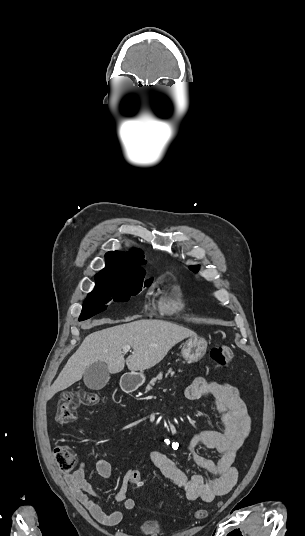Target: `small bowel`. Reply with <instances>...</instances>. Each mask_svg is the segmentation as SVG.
I'll use <instances>...</instances> for the list:
<instances>
[{"instance_id":"c3829d8e","label":"small bowel","mask_w":305,"mask_h":536,"mask_svg":"<svg viewBox=\"0 0 305 536\" xmlns=\"http://www.w3.org/2000/svg\"><path fill=\"white\" fill-rule=\"evenodd\" d=\"M185 395L192 401L212 395L215 409L224 426L223 432H198L187 445L194 463L210 473L211 478L204 479L199 474L187 477L174 459L156 450L150 452L149 459L165 477L184 489L188 500L211 502L217 497L228 494L237 482L238 472L234 467V460L238 450L250 435L251 418L239 391L229 383L208 381L198 377L186 388ZM167 441L171 443L172 439L168 438ZM198 445L214 451L218 456L217 460L196 455L194 449ZM96 471L102 478L108 479L112 474V467L107 460L100 459L96 463ZM85 472L86 464L82 461L74 471L65 475L70 490L97 522L104 526L117 525L122 520V513L108 512L103 508L100 503L101 497L85 479ZM127 492L126 473L119 491L114 495V500L122 503L126 510H132L136 502L128 497Z\"/></svg>"}]
</instances>
